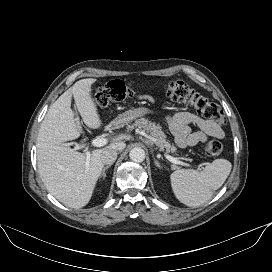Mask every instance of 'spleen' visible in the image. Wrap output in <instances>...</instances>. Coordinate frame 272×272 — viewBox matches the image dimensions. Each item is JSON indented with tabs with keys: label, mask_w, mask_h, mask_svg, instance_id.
<instances>
[{
	"label": "spleen",
	"mask_w": 272,
	"mask_h": 272,
	"mask_svg": "<svg viewBox=\"0 0 272 272\" xmlns=\"http://www.w3.org/2000/svg\"><path fill=\"white\" fill-rule=\"evenodd\" d=\"M226 159H216L201 171L178 169L170 175L171 187L176 198L186 206L199 207L208 202L231 172Z\"/></svg>",
	"instance_id": "obj_1"
}]
</instances>
